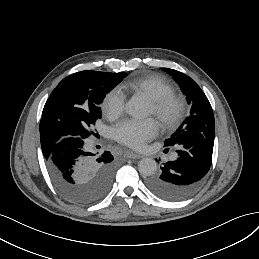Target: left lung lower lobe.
I'll return each mask as SVG.
<instances>
[{
	"label": "left lung lower lobe",
	"mask_w": 259,
	"mask_h": 259,
	"mask_svg": "<svg viewBox=\"0 0 259 259\" xmlns=\"http://www.w3.org/2000/svg\"><path fill=\"white\" fill-rule=\"evenodd\" d=\"M214 138L203 132L187 131L178 143V158L161 167V173L148 179L147 187L157 197L180 201L200 186L212 163Z\"/></svg>",
	"instance_id": "1"
}]
</instances>
